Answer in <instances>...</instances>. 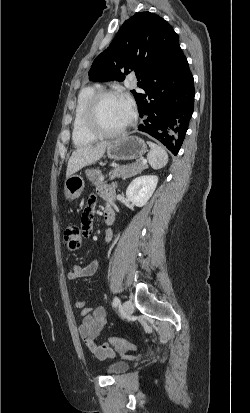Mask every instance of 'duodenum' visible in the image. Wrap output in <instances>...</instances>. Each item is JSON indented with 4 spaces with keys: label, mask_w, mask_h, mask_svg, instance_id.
Here are the masks:
<instances>
[{
    "label": "duodenum",
    "mask_w": 250,
    "mask_h": 413,
    "mask_svg": "<svg viewBox=\"0 0 250 413\" xmlns=\"http://www.w3.org/2000/svg\"><path fill=\"white\" fill-rule=\"evenodd\" d=\"M114 219H115V212H114L113 208H111V207L106 208L105 214H104L105 223L107 225H111V224H113Z\"/></svg>",
    "instance_id": "1"
}]
</instances>
